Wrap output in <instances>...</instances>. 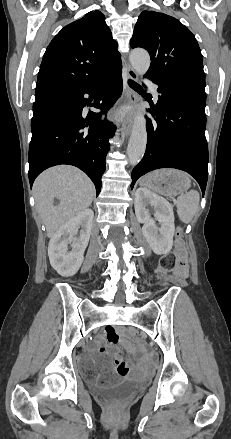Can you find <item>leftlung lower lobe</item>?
<instances>
[{
  "label": "left lung lower lobe",
  "mask_w": 231,
  "mask_h": 439,
  "mask_svg": "<svg viewBox=\"0 0 231 439\" xmlns=\"http://www.w3.org/2000/svg\"><path fill=\"white\" fill-rule=\"evenodd\" d=\"M153 82L161 95L156 107L148 109L156 118H147L146 152L132 171L131 188L152 170L176 168L192 175L204 195L208 178L205 87Z\"/></svg>",
  "instance_id": "obj_1"
}]
</instances>
